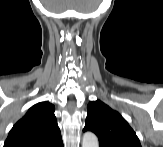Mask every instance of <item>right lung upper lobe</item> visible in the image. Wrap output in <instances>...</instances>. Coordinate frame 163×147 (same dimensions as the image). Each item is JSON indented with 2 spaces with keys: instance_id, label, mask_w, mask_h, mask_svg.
I'll return each mask as SVG.
<instances>
[{
  "instance_id": "1",
  "label": "right lung upper lobe",
  "mask_w": 163,
  "mask_h": 147,
  "mask_svg": "<svg viewBox=\"0 0 163 147\" xmlns=\"http://www.w3.org/2000/svg\"><path fill=\"white\" fill-rule=\"evenodd\" d=\"M54 110L55 107L48 102L32 106L13 126L4 147H55L61 144Z\"/></svg>"
}]
</instances>
